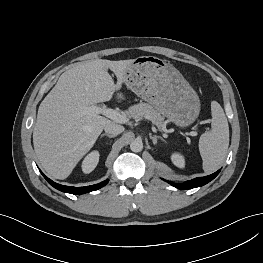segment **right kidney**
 Masks as SVG:
<instances>
[{
	"label": "right kidney",
	"instance_id": "right-kidney-1",
	"mask_svg": "<svg viewBox=\"0 0 263 263\" xmlns=\"http://www.w3.org/2000/svg\"><path fill=\"white\" fill-rule=\"evenodd\" d=\"M99 152L94 150L82 162V171L86 174L92 172L99 162Z\"/></svg>",
	"mask_w": 263,
	"mask_h": 263
}]
</instances>
